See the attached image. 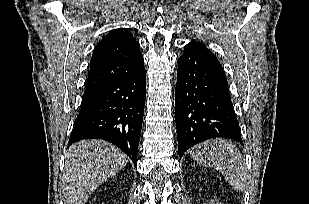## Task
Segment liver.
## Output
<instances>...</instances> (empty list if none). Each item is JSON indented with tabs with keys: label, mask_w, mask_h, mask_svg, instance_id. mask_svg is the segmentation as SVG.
<instances>
[{
	"label": "liver",
	"mask_w": 309,
	"mask_h": 204,
	"mask_svg": "<svg viewBox=\"0 0 309 204\" xmlns=\"http://www.w3.org/2000/svg\"><path fill=\"white\" fill-rule=\"evenodd\" d=\"M128 160L109 142L83 140L66 154L62 190L67 204H86L93 191L120 171Z\"/></svg>",
	"instance_id": "6515ba94"
}]
</instances>
